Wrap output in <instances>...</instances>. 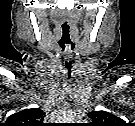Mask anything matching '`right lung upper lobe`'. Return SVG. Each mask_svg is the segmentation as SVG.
Here are the masks:
<instances>
[{
  "instance_id": "right-lung-upper-lobe-1",
  "label": "right lung upper lobe",
  "mask_w": 135,
  "mask_h": 126,
  "mask_svg": "<svg viewBox=\"0 0 135 126\" xmlns=\"http://www.w3.org/2000/svg\"><path fill=\"white\" fill-rule=\"evenodd\" d=\"M45 113L39 108L25 109L18 113L12 114L7 119L10 126H34L40 125Z\"/></svg>"
}]
</instances>
